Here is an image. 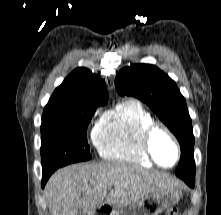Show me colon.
Wrapping results in <instances>:
<instances>
[{
    "instance_id": "5ec220e1",
    "label": "colon",
    "mask_w": 221,
    "mask_h": 215,
    "mask_svg": "<svg viewBox=\"0 0 221 215\" xmlns=\"http://www.w3.org/2000/svg\"><path fill=\"white\" fill-rule=\"evenodd\" d=\"M166 215H178V212L176 209H170L167 211Z\"/></svg>"
}]
</instances>
